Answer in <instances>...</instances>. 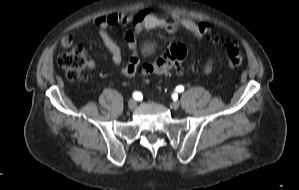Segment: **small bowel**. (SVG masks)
Instances as JSON below:
<instances>
[{"label": "small bowel", "instance_id": "small-bowel-1", "mask_svg": "<svg viewBox=\"0 0 299 190\" xmlns=\"http://www.w3.org/2000/svg\"><path fill=\"white\" fill-rule=\"evenodd\" d=\"M93 23L98 29V34L103 44L111 53L113 63L116 66H120L122 74L127 77L134 76L138 69L139 51L135 40L136 34H139L146 29H159L172 33L179 27H183L195 39L201 42L211 33L208 24L197 23L193 19L183 16L178 12H171L165 15H156L148 10L133 13L112 12L108 15L97 16ZM116 25L131 27V29L126 30L123 33V37L131 50V55L128 57H124L121 48L108 32L109 27ZM73 43L74 40L71 36H66L61 41V45L64 48L71 47ZM214 65L215 59L214 57H211L204 65V73H212ZM87 67L92 70L95 67V63L89 61Z\"/></svg>", "mask_w": 299, "mask_h": 190}]
</instances>
